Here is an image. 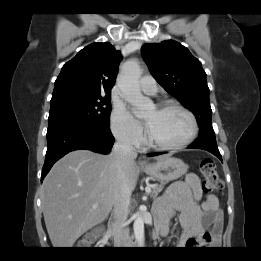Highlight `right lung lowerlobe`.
I'll list each match as a JSON object with an SVG mask.
<instances>
[{
	"mask_svg": "<svg viewBox=\"0 0 261 261\" xmlns=\"http://www.w3.org/2000/svg\"><path fill=\"white\" fill-rule=\"evenodd\" d=\"M114 143L109 127L86 122H67L48 127L47 152L41 181L53 164L70 151L87 149L107 154Z\"/></svg>",
	"mask_w": 261,
	"mask_h": 261,
	"instance_id": "right-lung-lower-lobe-1",
	"label": "right lung lower lobe"
}]
</instances>
